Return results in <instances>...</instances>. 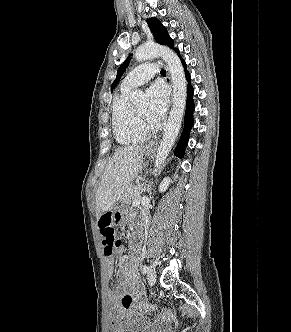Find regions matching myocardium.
I'll return each instance as SVG.
<instances>
[{
	"mask_svg": "<svg viewBox=\"0 0 291 332\" xmlns=\"http://www.w3.org/2000/svg\"><path fill=\"white\" fill-rule=\"evenodd\" d=\"M134 114L136 117V120L138 122L139 127L144 131L147 132L149 131L150 125L148 124V122L146 121V119L138 112V110L136 109V107H134Z\"/></svg>",
	"mask_w": 291,
	"mask_h": 332,
	"instance_id": "f54148a6",
	"label": "myocardium"
}]
</instances>
